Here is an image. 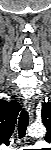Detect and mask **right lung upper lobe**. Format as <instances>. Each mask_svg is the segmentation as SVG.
<instances>
[{
  "label": "right lung upper lobe",
  "mask_w": 51,
  "mask_h": 150,
  "mask_svg": "<svg viewBox=\"0 0 51 150\" xmlns=\"http://www.w3.org/2000/svg\"><path fill=\"white\" fill-rule=\"evenodd\" d=\"M20 108L21 106L17 101H0V144L9 142Z\"/></svg>",
  "instance_id": "cb5924a9"
}]
</instances>
